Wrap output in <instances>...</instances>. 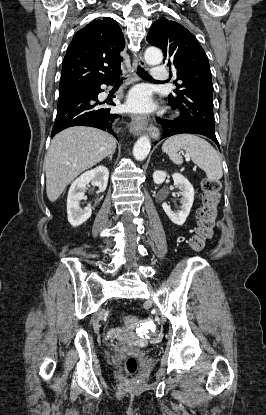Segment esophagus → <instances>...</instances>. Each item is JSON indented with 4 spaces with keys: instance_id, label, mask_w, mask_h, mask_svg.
Listing matches in <instances>:
<instances>
[{
    "instance_id": "1",
    "label": "esophagus",
    "mask_w": 266,
    "mask_h": 415,
    "mask_svg": "<svg viewBox=\"0 0 266 415\" xmlns=\"http://www.w3.org/2000/svg\"><path fill=\"white\" fill-rule=\"evenodd\" d=\"M138 66L144 67L145 61L143 59L142 53H138L135 55L134 69H137ZM150 120L149 116H138V115H132L129 130L134 135H140L143 130L145 129L148 121Z\"/></svg>"
}]
</instances>
